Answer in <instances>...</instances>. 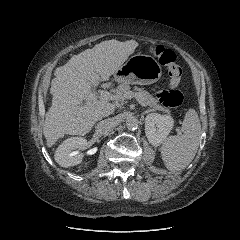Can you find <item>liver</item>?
Here are the masks:
<instances>
[{
	"mask_svg": "<svg viewBox=\"0 0 240 240\" xmlns=\"http://www.w3.org/2000/svg\"><path fill=\"white\" fill-rule=\"evenodd\" d=\"M137 47L134 40L103 41L56 69L50 89L52 105L43 125L48 147L65 134H87L97 121L114 113L115 105L109 102V97L81 104L92 94L93 87L108 81Z\"/></svg>",
	"mask_w": 240,
	"mask_h": 240,
	"instance_id": "1",
	"label": "liver"
}]
</instances>
